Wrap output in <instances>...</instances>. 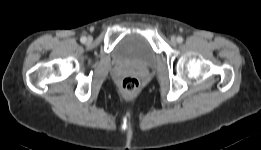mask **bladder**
Segmentation results:
<instances>
[{
  "label": "bladder",
  "instance_id": "obj_1",
  "mask_svg": "<svg viewBox=\"0 0 261 150\" xmlns=\"http://www.w3.org/2000/svg\"><path fill=\"white\" fill-rule=\"evenodd\" d=\"M113 60L119 64L153 67L158 54L143 34H129L121 38L112 51Z\"/></svg>",
  "mask_w": 261,
  "mask_h": 150
}]
</instances>
